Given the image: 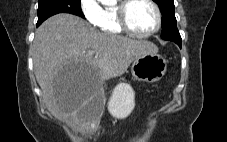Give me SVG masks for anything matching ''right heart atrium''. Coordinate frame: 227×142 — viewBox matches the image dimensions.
<instances>
[{
  "label": "right heart atrium",
  "mask_w": 227,
  "mask_h": 142,
  "mask_svg": "<svg viewBox=\"0 0 227 142\" xmlns=\"http://www.w3.org/2000/svg\"><path fill=\"white\" fill-rule=\"evenodd\" d=\"M80 11L83 17L91 24L97 25L102 14V7L98 0H80Z\"/></svg>",
  "instance_id": "obj_1"
}]
</instances>
